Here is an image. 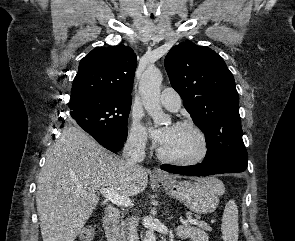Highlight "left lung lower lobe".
<instances>
[{
  "mask_svg": "<svg viewBox=\"0 0 295 241\" xmlns=\"http://www.w3.org/2000/svg\"><path fill=\"white\" fill-rule=\"evenodd\" d=\"M247 166L229 162V161H203L200 164L192 166H174L164 164L162 170L170 173L189 175V176H207L221 173H239L245 171Z\"/></svg>",
  "mask_w": 295,
  "mask_h": 241,
  "instance_id": "1",
  "label": "left lung lower lobe"
}]
</instances>
